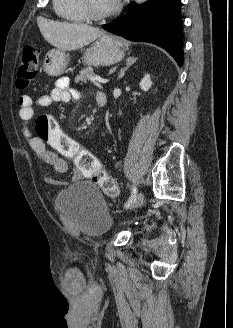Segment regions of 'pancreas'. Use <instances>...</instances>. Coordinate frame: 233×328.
I'll list each match as a JSON object with an SVG mask.
<instances>
[{
  "label": "pancreas",
  "mask_w": 233,
  "mask_h": 328,
  "mask_svg": "<svg viewBox=\"0 0 233 328\" xmlns=\"http://www.w3.org/2000/svg\"><path fill=\"white\" fill-rule=\"evenodd\" d=\"M93 77H96L93 69L91 67H86L80 71V73L77 77H75V82L76 83H79V82L87 83V81Z\"/></svg>",
  "instance_id": "1"
}]
</instances>
